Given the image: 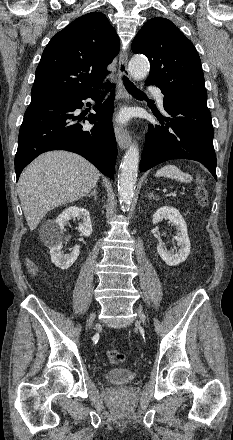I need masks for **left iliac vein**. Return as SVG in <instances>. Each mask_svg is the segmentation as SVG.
<instances>
[{"instance_id": "left-iliac-vein-1", "label": "left iliac vein", "mask_w": 233, "mask_h": 440, "mask_svg": "<svg viewBox=\"0 0 233 440\" xmlns=\"http://www.w3.org/2000/svg\"><path fill=\"white\" fill-rule=\"evenodd\" d=\"M137 313H138V317H139L140 322L143 323L144 325H146L145 316L142 313V311L141 310H137Z\"/></svg>"}]
</instances>
